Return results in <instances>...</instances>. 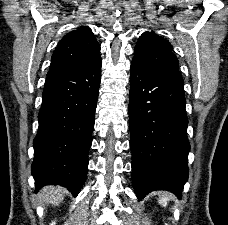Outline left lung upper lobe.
Wrapping results in <instances>:
<instances>
[{
    "label": "left lung upper lobe",
    "instance_id": "left-lung-upper-lobe-1",
    "mask_svg": "<svg viewBox=\"0 0 228 225\" xmlns=\"http://www.w3.org/2000/svg\"><path fill=\"white\" fill-rule=\"evenodd\" d=\"M133 61L158 73L181 76L172 45L154 32H145L134 49Z\"/></svg>",
    "mask_w": 228,
    "mask_h": 225
}]
</instances>
